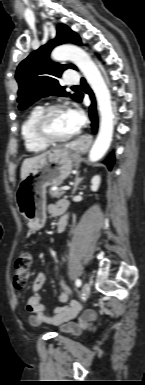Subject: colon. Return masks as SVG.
Masks as SVG:
<instances>
[{
  "instance_id": "obj_1",
  "label": "colon",
  "mask_w": 145,
  "mask_h": 385,
  "mask_svg": "<svg viewBox=\"0 0 145 385\" xmlns=\"http://www.w3.org/2000/svg\"><path fill=\"white\" fill-rule=\"evenodd\" d=\"M32 255L29 252L21 253L14 264V285L16 288L26 286L30 277Z\"/></svg>"
}]
</instances>
